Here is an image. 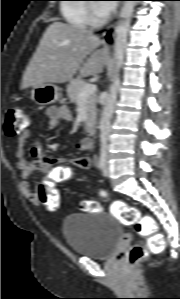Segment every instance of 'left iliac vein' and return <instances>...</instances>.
Instances as JSON below:
<instances>
[{"label": "left iliac vein", "mask_w": 180, "mask_h": 299, "mask_svg": "<svg viewBox=\"0 0 180 299\" xmlns=\"http://www.w3.org/2000/svg\"><path fill=\"white\" fill-rule=\"evenodd\" d=\"M103 174H104V176H106V177L109 176V163H108V161H107L106 164H105Z\"/></svg>", "instance_id": "1"}]
</instances>
